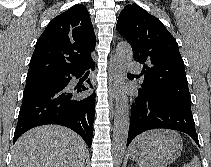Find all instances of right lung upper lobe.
Here are the masks:
<instances>
[{
    "label": "right lung upper lobe",
    "mask_w": 211,
    "mask_h": 167,
    "mask_svg": "<svg viewBox=\"0 0 211 167\" xmlns=\"http://www.w3.org/2000/svg\"><path fill=\"white\" fill-rule=\"evenodd\" d=\"M96 38L84 5L55 17L36 42L27 81L84 68L92 62Z\"/></svg>",
    "instance_id": "right-lung-upper-lobe-1"
}]
</instances>
